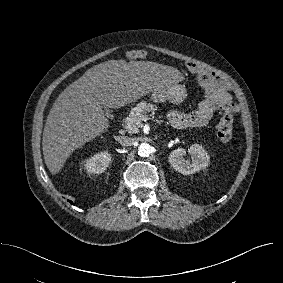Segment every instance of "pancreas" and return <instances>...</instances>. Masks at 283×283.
<instances>
[{
    "label": "pancreas",
    "mask_w": 283,
    "mask_h": 283,
    "mask_svg": "<svg viewBox=\"0 0 283 283\" xmlns=\"http://www.w3.org/2000/svg\"><path fill=\"white\" fill-rule=\"evenodd\" d=\"M157 109L156 105L147 103L146 101L138 103L130 112L129 116L125 120V129L129 133H135L138 131L141 125L140 116L147 112H154Z\"/></svg>",
    "instance_id": "pancreas-1"
}]
</instances>
